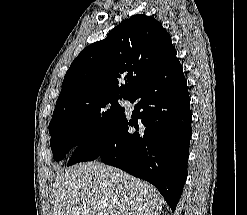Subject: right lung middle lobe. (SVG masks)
Instances as JSON below:
<instances>
[{
	"mask_svg": "<svg viewBox=\"0 0 247 215\" xmlns=\"http://www.w3.org/2000/svg\"><path fill=\"white\" fill-rule=\"evenodd\" d=\"M126 95L105 94L79 100L61 107L53 113L49 124L50 146L56 161L64 157L81 142L103 131L123 112L118 99Z\"/></svg>",
	"mask_w": 247,
	"mask_h": 215,
	"instance_id": "right-lung-middle-lobe-1",
	"label": "right lung middle lobe"
}]
</instances>
